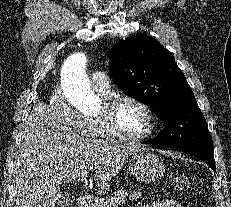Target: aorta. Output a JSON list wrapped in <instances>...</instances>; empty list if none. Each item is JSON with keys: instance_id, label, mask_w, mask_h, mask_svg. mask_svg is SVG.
Here are the masks:
<instances>
[{"instance_id": "aorta-1", "label": "aorta", "mask_w": 231, "mask_h": 207, "mask_svg": "<svg viewBox=\"0 0 231 207\" xmlns=\"http://www.w3.org/2000/svg\"><path fill=\"white\" fill-rule=\"evenodd\" d=\"M87 57L77 52L70 55L61 69V87L66 100L80 111L94 110L101 100L92 91L85 73Z\"/></svg>"}]
</instances>
